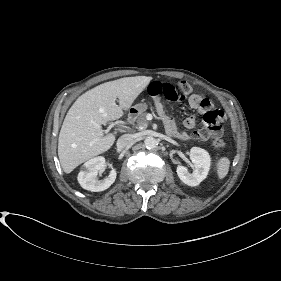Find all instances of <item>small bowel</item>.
Returning a JSON list of instances; mask_svg holds the SVG:
<instances>
[{
    "label": "small bowel",
    "instance_id": "obj_1",
    "mask_svg": "<svg viewBox=\"0 0 281 281\" xmlns=\"http://www.w3.org/2000/svg\"><path fill=\"white\" fill-rule=\"evenodd\" d=\"M188 104L191 108L199 111H205L212 107L211 101L199 94L191 95L189 97ZM155 106H156L157 113L160 116L168 135L181 140H188L190 138L196 137L197 132L189 134L185 131L178 130L175 122L166 114L164 105L160 101H157ZM183 125L186 129L189 130L194 129L196 126V121L194 116L187 117L184 120Z\"/></svg>",
    "mask_w": 281,
    "mask_h": 281
}]
</instances>
